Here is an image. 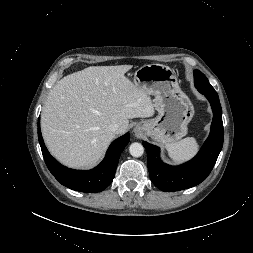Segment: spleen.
<instances>
[{
    "label": "spleen",
    "instance_id": "spleen-1",
    "mask_svg": "<svg viewBox=\"0 0 253 253\" xmlns=\"http://www.w3.org/2000/svg\"><path fill=\"white\" fill-rule=\"evenodd\" d=\"M198 149L199 145L194 137H187L166 145L169 157L176 163L189 160L197 153Z\"/></svg>",
    "mask_w": 253,
    "mask_h": 253
}]
</instances>
